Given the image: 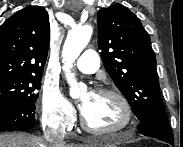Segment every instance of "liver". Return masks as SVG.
Listing matches in <instances>:
<instances>
[{
  "mask_svg": "<svg viewBox=\"0 0 183 147\" xmlns=\"http://www.w3.org/2000/svg\"><path fill=\"white\" fill-rule=\"evenodd\" d=\"M49 144L42 138L22 133L0 134V147H74L73 145L48 146ZM93 146V144L84 145V147Z\"/></svg>",
  "mask_w": 183,
  "mask_h": 147,
  "instance_id": "6515ba94",
  "label": "liver"
}]
</instances>
